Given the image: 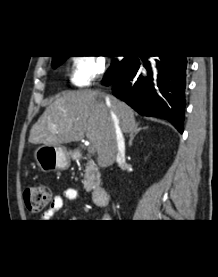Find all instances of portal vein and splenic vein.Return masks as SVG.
<instances>
[{"label":"portal vein and splenic vein","instance_id":"obj_1","mask_svg":"<svg viewBox=\"0 0 218 277\" xmlns=\"http://www.w3.org/2000/svg\"><path fill=\"white\" fill-rule=\"evenodd\" d=\"M87 145H89V143H87ZM88 152L89 153H94L95 152V148L93 146H88Z\"/></svg>","mask_w":218,"mask_h":277}]
</instances>
